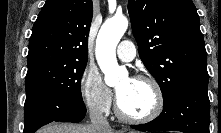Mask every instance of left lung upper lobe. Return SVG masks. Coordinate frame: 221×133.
I'll return each instance as SVG.
<instances>
[{
    "label": "left lung upper lobe",
    "instance_id": "5c2ea615",
    "mask_svg": "<svg viewBox=\"0 0 221 133\" xmlns=\"http://www.w3.org/2000/svg\"><path fill=\"white\" fill-rule=\"evenodd\" d=\"M128 12L140 58L164 103L186 85H208L207 53L191 0H129Z\"/></svg>",
    "mask_w": 221,
    "mask_h": 133
}]
</instances>
